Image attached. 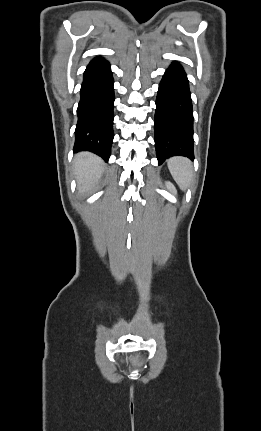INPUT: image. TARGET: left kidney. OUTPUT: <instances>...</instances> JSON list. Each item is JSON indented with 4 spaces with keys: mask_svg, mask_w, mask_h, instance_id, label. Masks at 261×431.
I'll list each match as a JSON object with an SVG mask.
<instances>
[{
    "mask_svg": "<svg viewBox=\"0 0 261 431\" xmlns=\"http://www.w3.org/2000/svg\"><path fill=\"white\" fill-rule=\"evenodd\" d=\"M167 187L172 191L173 194H176L175 189L171 183L167 182Z\"/></svg>",
    "mask_w": 261,
    "mask_h": 431,
    "instance_id": "1",
    "label": "left kidney"
}]
</instances>
